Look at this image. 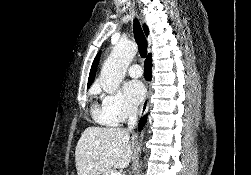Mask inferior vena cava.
Instances as JSON below:
<instances>
[{"mask_svg":"<svg viewBox=\"0 0 251 175\" xmlns=\"http://www.w3.org/2000/svg\"><path fill=\"white\" fill-rule=\"evenodd\" d=\"M137 121H138V109L137 107H134V105H131V107H128L127 131H131V129H134Z\"/></svg>","mask_w":251,"mask_h":175,"instance_id":"602c4592","label":"inferior vena cava"}]
</instances>
